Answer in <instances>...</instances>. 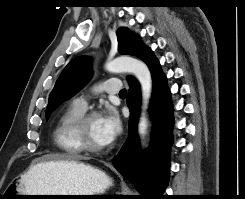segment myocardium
Instances as JSON below:
<instances>
[{
    "label": "myocardium",
    "mask_w": 245,
    "mask_h": 199,
    "mask_svg": "<svg viewBox=\"0 0 245 199\" xmlns=\"http://www.w3.org/2000/svg\"><path fill=\"white\" fill-rule=\"evenodd\" d=\"M99 116L98 111L91 110L84 112L74 124V137L83 151L90 153H102L107 150L106 146H94L86 138V125L90 119Z\"/></svg>",
    "instance_id": "myocardium-1"
}]
</instances>
